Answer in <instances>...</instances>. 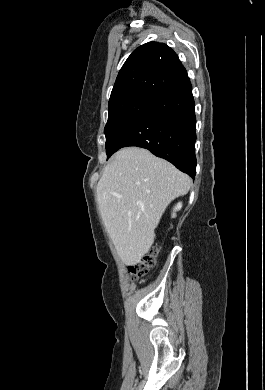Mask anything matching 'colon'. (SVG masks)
<instances>
[{"label":"colon","mask_w":265,"mask_h":390,"mask_svg":"<svg viewBox=\"0 0 265 390\" xmlns=\"http://www.w3.org/2000/svg\"><path fill=\"white\" fill-rule=\"evenodd\" d=\"M157 254V249L153 248L137 263L131 265L128 268L130 276L138 280H144L148 277L151 269L155 266Z\"/></svg>","instance_id":"colon-1"}]
</instances>
